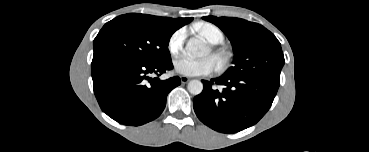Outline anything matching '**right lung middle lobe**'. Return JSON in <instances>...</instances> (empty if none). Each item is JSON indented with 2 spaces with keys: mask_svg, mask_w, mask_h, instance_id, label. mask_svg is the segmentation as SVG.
Listing matches in <instances>:
<instances>
[{
  "mask_svg": "<svg viewBox=\"0 0 369 152\" xmlns=\"http://www.w3.org/2000/svg\"><path fill=\"white\" fill-rule=\"evenodd\" d=\"M176 29L125 14L106 23L94 39L92 68L110 61L144 64L171 59L168 44Z\"/></svg>",
  "mask_w": 369,
  "mask_h": 152,
  "instance_id": "obj_1",
  "label": "right lung middle lobe"
}]
</instances>
